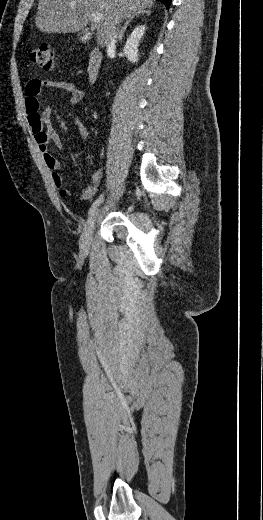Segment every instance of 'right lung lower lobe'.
Listing matches in <instances>:
<instances>
[{"label":"right lung lower lobe","mask_w":263,"mask_h":520,"mask_svg":"<svg viewBox=\"0 0 263 520\" xmlns=\"http://www.w3.org/2000/svg\"><path fill=\"white\" fill-rule=\"evenodd\" d=\"M159 1L163 2L167 9L169 8L171 0H159Z\"/></svg>","instance_id":"1"}]
</instances>
